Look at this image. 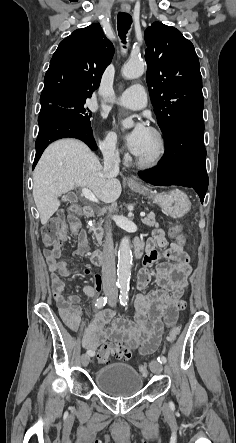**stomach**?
Segmentation results:
<instances>
[{"label": "stomach", "instance_id": "0dacf381", "mask_svg": "<svg viewBox=\"0 0 236 443\" xmlns=\"http://www.w3.org/2000/svg\"><path fill=\"white\" fill-rule=\"evenodd\" d=\"M136 192L146 194V190L132 187ZM154 202L161 209L173 218L184 216L190 209V201L187 195L181 190L174 189L164 194H153Z\"/></svg>", "mask_w": 236, "mask_h": 443}]
</instances>
